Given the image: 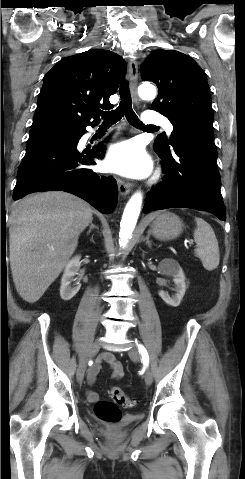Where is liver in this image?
Returning a JSON list of instances; mask_svg holds the SVG:
<instances>
[{
    "instance_id": "6515ba94",
    "label": "liver",
    "mask_w": 245,
    "mask_h": 479,
    "mask_svg": "<svg viewBox=\"0 0 245 479\" xmlns=\"http://www.w3.org/2000/svg\"><path fill=\"white\" fill-rule=\"evenodd\" d=\"M91 207L65 192L30 195L14 204L10 267L17 292L34 303L62 272L93 217Z\"/></svg>"
}]
</instances>
